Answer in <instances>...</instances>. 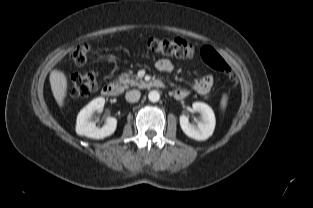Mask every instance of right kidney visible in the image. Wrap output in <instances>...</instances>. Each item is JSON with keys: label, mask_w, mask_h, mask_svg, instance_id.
Here are the masks:
<instances>
[{"label": "right kidney", "mask_w": 313, "mask_h": 208, "mask_svg": "<svg viewBox=\"0 0 313 208\" xmlns=\"http://www.w3.org/2000/svg\"><path fill=\"white\" fill-rule=\"evenodd\" d=\"M105 104L103 97H98L84 107L77 116L76 133L93 139H103L112 135L117 127V119L108 117L106 124L99 128L92 120L95 111H102Z\"/></svg>", "instance_id": "1"}]
</instances>
